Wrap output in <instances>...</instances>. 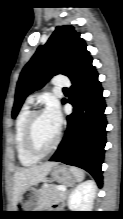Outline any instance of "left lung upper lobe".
I'll use <instances>...</instances> for the list:
<instances>
[{
	"label": "left lung upper lobe",
	"instance_id": "left-lung-upper-lobe-1",
	"mask_svg": "<svg viewBox=\"0 0 123 219\" xmlns=\"http://www.w3.org/2000/svg\"><path fill=\"white\" fill-rule=\"evenodd\" d=\"M89 58L91 56L86 50L85 41L73 26L56 27L48 41L37 49L20 74L12 117L17 116L25 98L42 88L52 76L64 74L72 78Z\"/></svg>",
	"mask_w": 123,
	"mask_h": 219
}]
</instances>
